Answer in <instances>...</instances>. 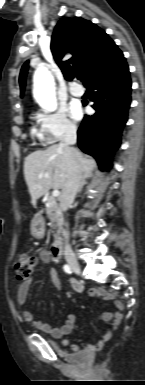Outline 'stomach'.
Listing matches in <instances>:
<instances>
[{
    "label": "stomach",
    "instance_id": "0dacf381",
    "mask_svg": "<svg viewBox=\"0 0 145 385\" xmlns=\"http://www.w3.org/2000/svg\"><path fill=\"white\" fill-rule=\"evenodd\" d=\"M31 234L36 238H42L44 235V223L42 221H34L31 225Z\"/></svg>",
    "mask_w": 145,
    "mask_h": 385
}]
</instances>
